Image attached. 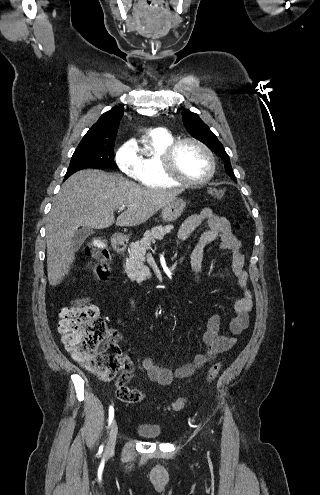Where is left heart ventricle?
Instances as JSON below:
<instances>
[{
    "label": "left heart ventricle",
    "mask_w": 320,
    "mask_h": 495,
    "mask_svg": "<svg viewBox=\"0 0 320 495\" xmlns=\"http://www.w3.org/2000/svg\"><path fill=\"white\" fill-rule=\"evenodd\" d=\"M179 173L191 180L205 177L209 171V160L204 152L192 143L183 144L176 155Z\"/></svg>",
    "instance_id": "obj_1"
}]
</instances>
